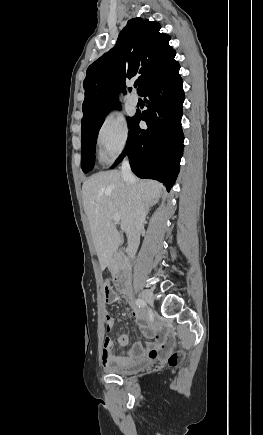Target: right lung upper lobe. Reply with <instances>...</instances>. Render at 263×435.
<instances>
[{
  "instance_id": "obj_1",
  "label": "right lung upper lobe",
  "mask_w": 263,
  "mask_h": 435,
  "mask_svg": "<svg viewBox=\"0 0 263 435\" xmlns=\"http://www.w3.org/2000/svg\"><path fill=\"white\" fill-rule=\"evenodd\" d=\"M159 23L134 18L127 22L113 49L93 62L83 82L85 99L81 127L96 122L118 104V92L124 94L125 81L137 77L138 93L177 62L176 51L168 44L171 37L160 33Z\"/></svg>"
}]
</instances>
